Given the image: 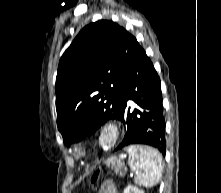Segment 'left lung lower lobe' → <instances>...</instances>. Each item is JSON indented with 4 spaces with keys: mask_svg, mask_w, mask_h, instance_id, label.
<instances>
[{
    "mask_svg": "<svg viewBox=\"0 0 221 193\" xmlns=\"http://www.w3.org/2000/svg\"><path fill=\"white\" fill-rule=\"evenodd\" d=\"M121 121L127 133L116 150L130 145L145 144L158 148L165 155V120L163 116L160 78L149 57L140 46L127 67L120 90ZM132 100L139 109L130 112L127 101ZM151 106L158 117L156 125H145L146 111ZM144 121V122H143Z\"/></svg>",
    "mask_w": 221,
    "mask_h": 193,
    "instance_id": "0a47b994",
    "label": "left lung lower lobe"
}]
</instances>
